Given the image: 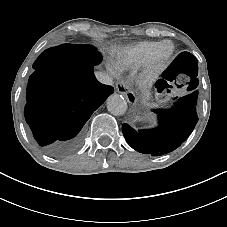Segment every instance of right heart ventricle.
<instances>
[{"label":"right heart ventricle","mask_w":227,"mask_h":227,"mask_svg":"<svg viewBox=\"0 0 227 227\" xmlns=\"http://www.w3.org/2000/svg\"><path fill=\"white\" fill-rule=\"evenodd\" d=\"M162 41H141L127 46L118 56L117 64L125 68H135L151 60Z\"/></svg>","instance_id":"1"}]
</instances>
